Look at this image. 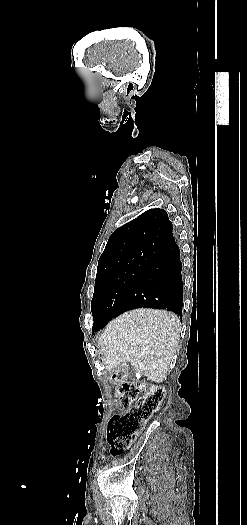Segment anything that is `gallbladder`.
Returning a JSON list of instances; mask_svg holds the SVG:
<instances>
[{"instance_id":"obj_1","label":"gallbladder","mask_w":247,"mask_h":525,"mask_svg":"<svg viewBox=\"0 0 247 525\" xmlns=\"http://www.w3.org/2000/svg\"><path fill=\"white\" fill-rule=\"evenodd\" d=\"M128 372H129L130 374H133V373H135V368H133V367H130V368L128 369Z\"/></svg>"}]
</instances>
